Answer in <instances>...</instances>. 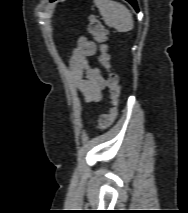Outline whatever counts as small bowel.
<instances>
[{
    "label": "small bowel",
    "mask_w": 188,
    "mask_h": 213,
    "mask_svg": "<svg viewBox=\"0 0 188 213\" xmlns=\"http://www.w3.org/2000/svg\"><path fill=\"white\" fill-rule=\"evenodd\" d=\"M96 52L97 47L93 41L80 37L69 62L72 83L88 103L98 102L106 87L100 69L91 62Z\"/></svg>",
    "instance_id": "small-bowel-1"
}]
</instances>
